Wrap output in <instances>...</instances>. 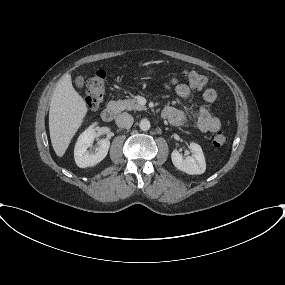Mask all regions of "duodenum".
<instances>
[{"label":"duodenum","mask_w":285,"mask_h":285,"mask_svg":"<svg viewBox=\"0 0 285 285\" xmlns=\"http://www.w3.org/2000/svg\"><path fill=\"white\" fill-rule=\"evenodd\" d=\"M117 112L118 109L115 105H108L101 111V118L105 122H110L115 118Z\"/></svg>","instance_id":"duodenum-1"}]
</instances>
